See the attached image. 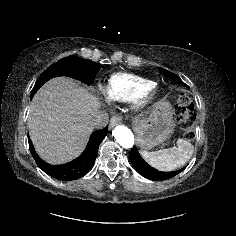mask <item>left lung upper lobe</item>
<instances>
[{
    "instance_id": "5c2ea615",
    "label": "left lung upper lobe",
    "mask_w": 236,
    "mask_h": 236,
    "mask_svg": "<svg viewBox=\"0 0 236 236\" xmlns=\"http://www.w3.org/2000/svg\"><path fill=\"white\" fill-rule=\"evenodd\" d=\"M159 71L166 77L168 78H171L172 80L184 85V86H187L176 74L174 73H171L163 68H159Z\"/></svg>"
}]
</instances>
